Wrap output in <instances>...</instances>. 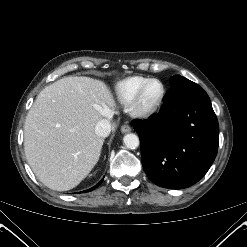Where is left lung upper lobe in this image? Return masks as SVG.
I'll list each match as a JSON object with an SVG mask.
<instances>
[{
	"label": "left lung upper lobe",
	"instance_id": "obj_1",
	"mask_svg": "<svg viewBox=\"0 0 247 247\" xmlns=\"http://www.w3.org/2000/svg\"><path fill=\"white\" fill-rule=\"evenodd\" d=\"M170 84L172 88H178V87H186V86H192L195 85L194 82L188 80L185 77H182L180 75H174L170 78Z\"/></svg>",
	"mask_w": 247,
	"mask_h": 247
}]
</instances>
